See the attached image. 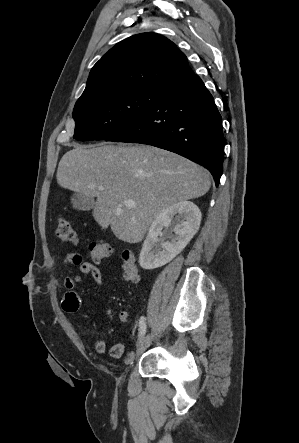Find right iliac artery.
I'll return each mask as SVG.
<instances>
[{
    "mask_svg": "<svg viewBox=\"0 0 299 443\" xmlns=\"http://www.w3.org/2000/svg\"><path fill=\"white\" fill-rule=\"evenodd\" d=\"M146 318L142 316L139 320V338L141 339L146 333Z\"/></svg>",
    "mask_w": 299,
    "mask_h": 443,
    "instance_id": "obj_1",
    "label": "right iliac artery"
}]
</instances>
